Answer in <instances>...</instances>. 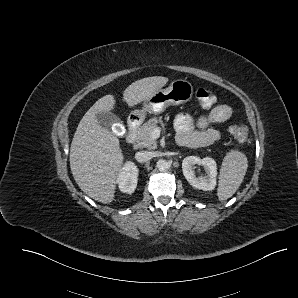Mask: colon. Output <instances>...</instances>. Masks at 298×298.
<instances>
[{"instance_id": "colon-1", "label": "colon", "mask_w": 298, "mask_h": 298, "mask_svg": "<svg viewBox=\"0 0 298 298\" xmlns=\"http://www.w3.org/2000/svg\"><path fill=\"white\" fill-rule=\"evenodd\" d=\"M196 98L199 104L208 108L211 107L216 102L215 93L207 88H200L196 92ZM229 133L238 142L244 143L249 139V130L244 122H236L229 127Z\"/></svg>"}]
</instances>
